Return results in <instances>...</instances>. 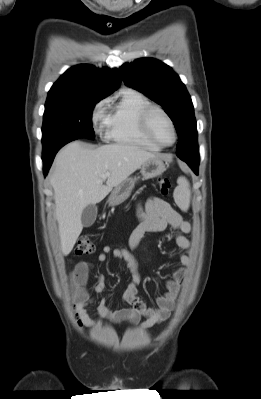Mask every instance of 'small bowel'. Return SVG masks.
<instances>
[{
	"label": "small bowel",
	"instance_id": "obj_1",
	"mask_svg": "<svg viewBox=\"0 0 261 399\" xmlns=\"http://www.w3.org/2000/svg\"><path fill=\"white\" fill-rule=\"evenodd\" d=\"M138 225L129 238V246L136 249L146 233L158 232L171 227L176 231L174 238L177 248L185 253L179 254L180 266L173 269L171 277L166 281L167 291L157 297L156 307H148L138 295L140 276L135 256L126 249L105 246L101 253L95 257V262L103 263L108 256L127 264L132 281L127 285L122 301L129 304L130 308L112 310L105 298L97 305L96 311L99 317L109 319L114 323L139 324L147 329L165 321L174 309L177 300L185 287L188 269L191 265V242L186 237L191 230L190 224L183 220L181 215L170 203L159 198L149 197L137 206ZM92 263L78 261L69 274V288L75 300L77 311L86 326L95 325V320L86 312V306L94 302V297L86 288ZM105 291V277L99 275L92 288L94 295H100ZM144 318V319H142Z\"/></svg>",
	"mask_w": 261,
	"mask_h": 399
}]
</instances>
